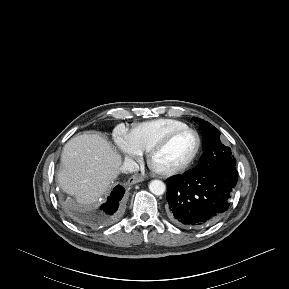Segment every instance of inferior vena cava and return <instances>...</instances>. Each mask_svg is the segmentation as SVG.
Masks as SVG:
<instances>
[{
  "instance_id": "602c4592",
  "label": "inferior vena cava",
  "mask_w": 289,
  "mask_h": 289,
  "mask_svg": "<svg viewBox=\"0 0 289 289\" xmlns=\"http://www.w3.org/2000/svg\"><path fill=\"white\" fill-rule=\"evenodd\" d=\"M121 169L124 172L133 173L139 170V165L133 159L127 158L124 161Z\"/></svg>"
}]
</instances>
